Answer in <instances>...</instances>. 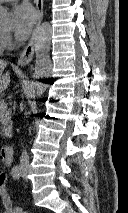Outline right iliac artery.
Wrapping results in <instances>:
<instances>
[{"instance_id":"right-iliac-artery-1","label":"right iliac artery","mask_w":128,"mask_h":213,"mask_svg":"<svg viewBox=\"0 0 128 213\" xmlns=\"http://www.w3.org/2000/svg\"><path fill=\"white\" fill-rule=\"evenodd\" d=\"M11 174L13 176L14 179L19 180L21 177V171L20 168L18 166H14L11 170Z\"/></svg>"}]
</instances>
